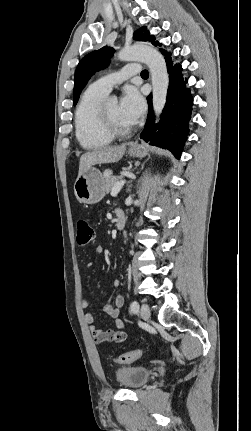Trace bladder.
<instances>
[{
    "instance_id": "obj_1",
    "label": "bladder",
    "mask_w": 251,
    "mask_h": 431,
    "mask_svg": "<svg viewBox=\"0 0 251 431\" xmlns=\"http://www.w3.org/2000/svg\"><path fill=\"white\" fill-rule=\"evenodd\" d=\"M151 371L142 366H121L115 371L116 381L123 387L135 389L148 382Z\"/></svg>"
}]
</instances>
